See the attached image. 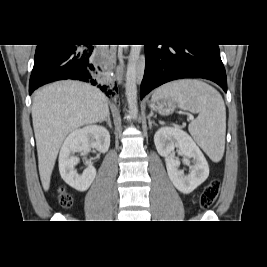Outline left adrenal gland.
Segmentation results:
<instances>
[{"mask_svg": "<svg viewBox=\"0 0 267 267\" xmlns=\"http://www.w3.org/2000/svg\"><path fill=\"white\" fill-rule=\"evenodd\" d=\"M151 116H152V113H150L149 115H148V124H149V129L151 130V128H152V125H155V126H157V124L154 122V121H152L151 120Z\"/></svg>", "mask_w": 267, "mask_h": 267, "instance_id": "obj_1", "label": "left adrenal gland"}]
</instances>
